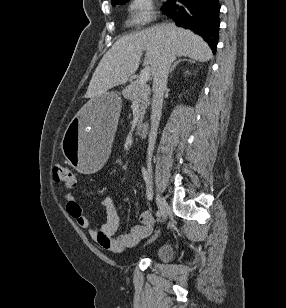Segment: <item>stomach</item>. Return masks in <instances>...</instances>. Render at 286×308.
I'll list each match as a JSON object with an SVG mask.
<instances>
[{
  "label": "stomach",
  "instance_id": "1",
  "mask_svg": "<svg viewBox=\"0 0 286 308\" xmlns=\"http://www.w3.org/2000/svg\"><path fill=\"white\" fill-rule=\"evenodd\" d=\"M120 108L119 93H100L99 97H89L85 109L71 117V122H65L66 138L61 142V149L74 171L81 174L101 171L104 161L111 156V133H119Z\"/></svg>",
  "mask_w": 286,
  "mask_h": 308
}]
</instances>
